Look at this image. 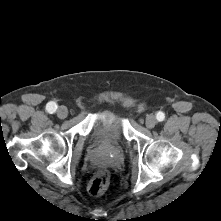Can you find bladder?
<instances>
[{
    "label": "bladder",
    "instance_id": "31cf9c89",
    "mask_svg": "<svg viewBox=\"0 0 221 221\" xmlns=\"http://www.w3.org/2000/svg\"><path fill=\"white\" fill-rule=\"evenodd\" d=\"M94 139L103 145H116L123 140L121 119L116 114H110L102 119L95 128Z\"/></svg>",
    "mask_w": 221,
    "mask_h": 221
}]
</instances>
